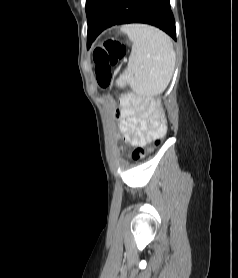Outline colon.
<instances>
[{
  "instance_id": "obj_1",
  "label": "colon",
  "mask_w": 238,
  "mask_h": 278,
  "mask_svg": "<svg viewBox=\"0 0 238 278\" xmlns=\"http://www.w3.org/2000/svg\"><path fill=\"white\" fill-rule=\"evenodd\" d=\"M126 47L118 41L107 40L93 51L96 77L102 88H107L112 79V67L122 61L126 55ZM146 153L143 146H134L131 152L133 160L141 159Z\"/></svg>"
}]
</instances>
